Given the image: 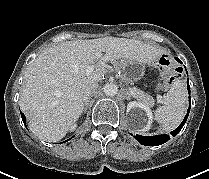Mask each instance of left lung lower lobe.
Returning <instances> with one entry per match:
<instances>
[{"mask_svg":"<svg viewBox=\"0 0 209 179\" xmlns=\"http://www.w3.org/2000/svg\"><path fill=\"white\" fill-rule=\"evenodd\" d=\"M176 60L178 62L182 63L177 57H176ZM187 84H188V92H189V95H190V87H189L188 80H187ZM189 103H190V106L188 108V112H187L184 120L182 121V123L179 125V127L177 129H175L174 131L171 132L172 136H176L180 132V130L182 129V127L184 126V124H185V122L188 118L190 107H191V97L190 96H189ZM131 135H133V134H131ZM134 138L142 145L158 146V145H161V144L167 142L170 139V136L166 135V134L165 135H156V136H141V135L137 134V135L134 136Z\"/></svg>","mask_w":209,"mask_h":179,"instance_id":"left-lung-lower-lobe-1","label":"left lung lower lobe"}]
</instances>
